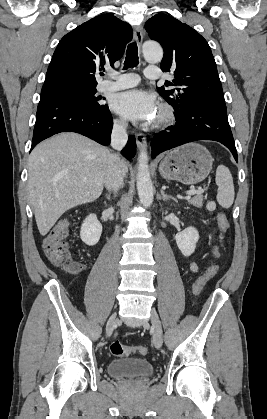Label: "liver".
<instances>
[{"instance_id": "1", "label": "liver", "mask_w": 267, "mask_h": 419, "mask_svg": "<svg viewBox=\"0 0 267 419\" xmlns=\"http://www.w3.org/2000/svg\"><path fill=\"white\" fill-rule=\"evenodd\" d=\"M109 155L106 147L73 132L57 134L32 150L28 192L42 236L66 211L99 198Z\"/></svg>"}]
</instances>
